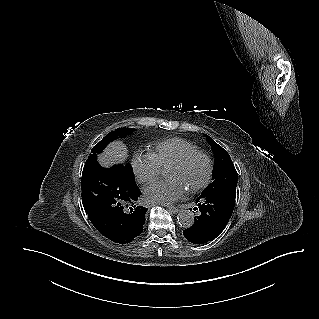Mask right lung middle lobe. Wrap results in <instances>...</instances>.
Instances as JSON below:
<instances>
[{
    "label": "right lung middle lobe",
    "mask_w": 319,
    "mask_h": 319,
    "mask_svg": "<svg viewBox=\"0 0 319 319\" xmlns=\"http://www.w3.org/2000/svg\"><path fill=\"white\" fill-rule=\"evenodd\" d=\"M133 128H117L115 131H112L106 135L105 138H103L98 144H96L92 150V154H97L103 151V149L108 145L109 142L113 141L117 138H123L133 132ZM130 168L131 165H129Z\"/></svg>",
    "instance_id": "obj_1"
}]
</instances>
